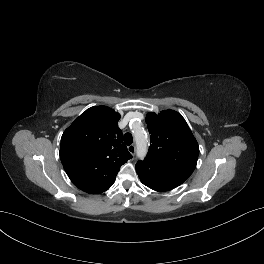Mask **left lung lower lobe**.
Listing matches in <instances>:
<instances>
[{
	"label": "left lung lower lobe",
	"mask_w": 264,
	"mask_h": 264,
	"mask_svg": "<svg viewBox=\"0 0 264 264\" xmlns=\"http://www.w3.org/2000/svg\"><path fill=\"white\" fill-rule=\"evenodd\" d=\"M139 167L137 173L141 182L155 191H168L183 183L181 180L166 174L161 167L154 164H144L143 166L139 165Z\"/></svg>",
	"instance_id": "left-lung-lower-lobe-1"
}]
</instances>
